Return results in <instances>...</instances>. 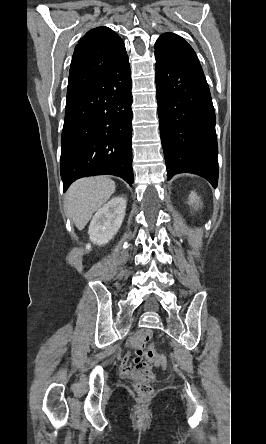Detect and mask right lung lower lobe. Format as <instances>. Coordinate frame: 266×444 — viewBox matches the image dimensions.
Masks as SVG:
<instances>
[{
  "label": "right lung lower lobe",
  "mask_w": 266,
  "mask_h": 444,
  "mask_svg": "<svg viewBox=\"0 0 266 444\" xmlns=\"http://www.w3.org/2000/svg\"><path fill=\"white\" fill-rule=\"evenodd\" d=\"M128 57L67 99L61 138L63 190L76 179L110 174L133 183L132 94Z\"/></svg>",
  "instance_id": "right-lung-lower-lobe-1"
}]
</instances>
